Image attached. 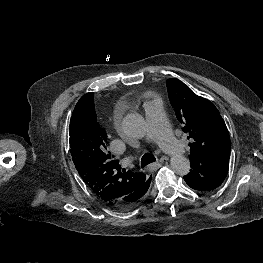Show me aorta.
<instances>
[{"label": "aorta", "mask_w": 263, "mask_h": 263, "mask_svg": "<svg viewBox=\"0 0 263 263\" xmlns=\"http://www.w3.org/2000/svg\"><path fill=\"white\" fill-rule=\"evenodd\" d=\"M122 129L129 138L139 139L145 134L146 123L140 114L129 113L123 118ZM170 165L174 173L180 176L187 175L190 171V161L181 155L172 157Z\"/></svg>", "instance_id": "762f6f07"}]
</instances>
